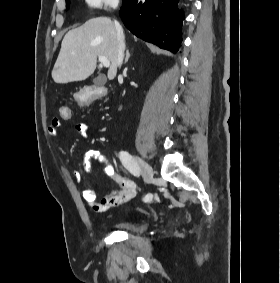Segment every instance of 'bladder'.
I'll use <instances>...</instances> for the list:
<instances>
[{
    "label": "bladder",
    "mask_w": 280,
    "mask_h": 283,
    "mask_svg": "<svg viewBox=\"0 0 280 283\" xmlns=\"http://www.w3.org/2000/svg\"><path fill=\"white\" fill-rule=\"evenodd\" d=\"M115 227L119 230L139 234L147 230L148 223L146 222H118L115 224Z\"/></svg>",
    "instance_id": "1"
}]
</instances>
